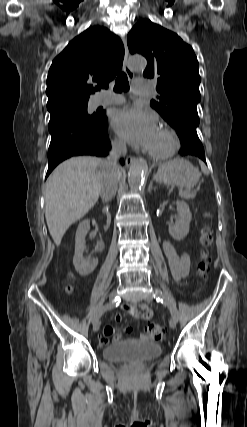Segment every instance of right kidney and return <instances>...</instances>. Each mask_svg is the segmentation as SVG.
<instances>
[{"label": "right kidney", "instance_id": "obj_1", "mask_svg": "<svg viewBox=\"0 0 247 427\" xmlns=\"http://www.w3.org/2000/svg\"><path fill=\"white\" fill-rule=\"evenodd\" d=\"M90 229V221H82L76 231L75 236V254L73 257V264L76 271L81 276H87L94 271L98 264V259H85L83 253L85 250V237Z\"/></svg>", "mask_w": 247, "mask_h": 427}]
</instances>
